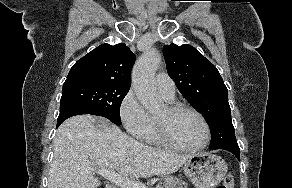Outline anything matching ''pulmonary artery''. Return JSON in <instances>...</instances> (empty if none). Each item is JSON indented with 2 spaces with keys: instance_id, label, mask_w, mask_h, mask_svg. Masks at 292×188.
Instances as JSON below:
<instances>
[{
  "instance_id": "e3ab8cb5",
  "label": "pulmonary artery",
  "mask_w": 292,
  "mask_h": 188,
  "mask_svg": "<svg viewBox=\"0 0 292 188\" xmlns=\"http://www.w3.org/2000/svg\"><path fill=\"white\" fill-rule=\"evenodd\" d=\"M156 87L159 93L167 100L175 97V83L166 73H159L155 78Z\"/></svg>"
}]
</instances>
